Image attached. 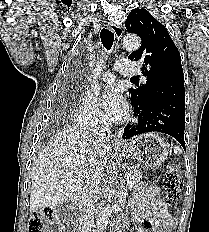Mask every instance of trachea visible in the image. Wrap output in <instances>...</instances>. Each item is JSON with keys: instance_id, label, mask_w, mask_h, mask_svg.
<instances>
[{"instance_id": "trachea-1", "label": "trachea", "mask_w": 209, "mask_h": 232, "mask_svg": "<svg viewBox=\"0 0 209 232\" xmlns=\"http://www.w3.org/2000/svg\"><path fill=\"white\" fill-rule=\"evenodd\" d=\"M100 38L103 46L107 49L110 50L113 42H114V34L110 30L103 28L100 33ZM136 78H132V80H135Z\"/></svg>"}]
</instances>
